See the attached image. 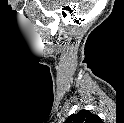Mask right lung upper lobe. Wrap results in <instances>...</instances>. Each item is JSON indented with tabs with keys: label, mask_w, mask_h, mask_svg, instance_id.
Masks as SVG:
<instances>
[{
	"label": "right lung upper lobe",
	"mask_w": 124,
	"mask_h": 123,
	"mask_svg": "<svg viewBox=\"0 0 124 123\" xmlns=\"http://www.w3.org/2000/svg\"><path fill=\"white\" fill-rule=\"evenodd\" d=\"M100 121L101 119L89 110H80L78 113L70 115L65 123H96Z\"/></svg>",
	"instance_id": "obj_1"
}]
</instances>
